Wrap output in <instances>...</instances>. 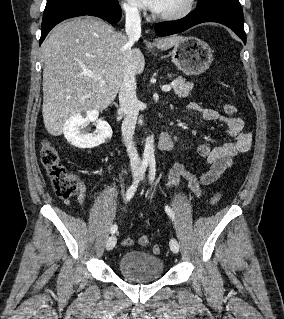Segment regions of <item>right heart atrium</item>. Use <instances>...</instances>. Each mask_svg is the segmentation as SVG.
<instances>
[{
	"mask_svg": "<svg viewBox=\"0 0 284 319\" xmlns=\"http://www.w3.org/2000/svg\"><path fill=\"white\" fill-rule=\"evenodd\" d=\"M125 16L130 20H138L140 18L139 8L130 0H125L121 4Z\"/></svg>",
	"mask_w": 284,
	"mask_h": 319,
	"instance_id": "right-heart-atrium-1",
	"label": "right heart atrium"
}]
</instances>
